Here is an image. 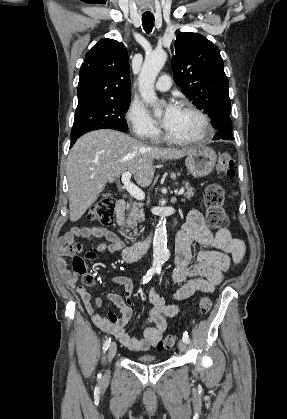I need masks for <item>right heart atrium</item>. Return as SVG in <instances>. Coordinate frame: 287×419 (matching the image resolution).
Returning a JSON list of instances; mask_svg holds the SVG:
<instances>
[{"label": "right heart atrium", "mask_w": 287, "mask_h": 419, "mask_svg": "<svg viewBox=\"0 0 287 419\" xmlns=\"http://www.w3.org/2000/svg\"><path fill=\"white\" fill-rule=\"evenodd\" d=\"M125 118L132 133L138 138L153 140L159 135L156 122L141 102L133 101L126 112Z\"/></svg>", "instance_id": "1"}]
</instances>
